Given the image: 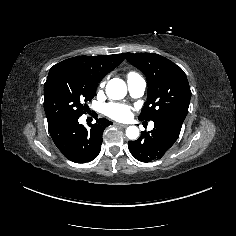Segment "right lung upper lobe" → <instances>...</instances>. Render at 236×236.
Segmentation results:
<instances>
[{"label":"right lung upper lobe","instance_id":"obj_1","mask_svg":"<svg viewBox=\"0 0 236 236\" xmlns=\"http://www.w3.org/2000/svg\"><path fill=\"white\" fill-rule=\"evenodd\" d=\"M124 60V54L99 55V56H77L66 59L59 65L82 69L90 72L99 83L103 77L112 71Z\"/></svg>","mask_w":236,"mask_h":236}]
</instances>
